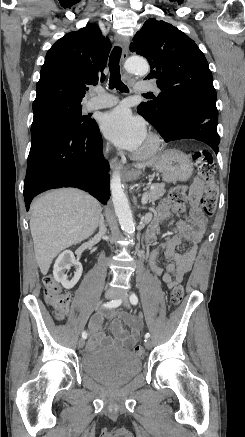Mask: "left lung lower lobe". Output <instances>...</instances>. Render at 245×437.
Returning a JSON list of instances; mask_svg holds the SVG:
<instances>
[{
	"instance_id": "1",
	"label": "left lung lower lobe",
	"mask_w": 245,
	"mask_h": 437,
	"mask_svg": "<svg viewBox=\"0 0 245 437\" xmlns=\"http://www.w3.org/2000/svg\"><path fill=\"white\" fill-rule=\"evenodd\" d=\"M218 115L193 104H179L170 109L163 126L156 128L165 142L196 139L218 153L220 137L217 133Z\"/></svg>"
}]
</instances>
